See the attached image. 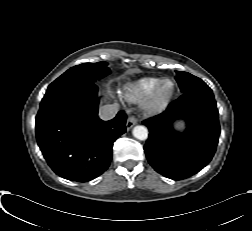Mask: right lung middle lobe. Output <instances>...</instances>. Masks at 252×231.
I'll use <instances>...</instances> for the list:
<instances>
[{"instance_id":"1","label":"right lung middle lobe","mask_w":252,"mask_h":231,"mask_svg":"<svg viewBox=\"0 0 252 231\" xmlns=\"http://www.w3.org/2000/svg\"><path fill=\"white\" fill-rule=\"evenodd\" d=\"M106 62L83 63L74 66L52 82L46 94L74 85L93 83L110 73Z\"/></svg>"}]
</instances>
